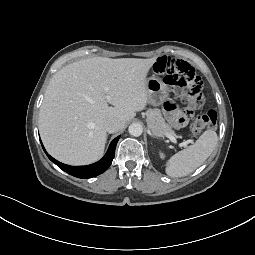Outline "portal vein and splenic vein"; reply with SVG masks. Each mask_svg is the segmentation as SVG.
Listing matches in <instances>:
<instances>
[{
	"instance_id": "portal-vein-and-splenic-vein-1",
	"label": "portal vein and splenic vein",
	"mask_w": 255,
	"mask_h": 255,
	"mask_svg": "<svg viewBox=\"0 0 255 255\" xmlns=\"http://www.w3.org/2000/svg\"><path fill=\"white\" fill-rule=\"evenodd\" d=\"M164 135H165L167 138H169L173 143H177V140H176L175 136H173L172 134L165 133ZM189 143L193 144V143H194V140H193V139H189V140H187L186 142L180 144V146H184L185 144H189Z\"/></svg>"
}]
</instances>
